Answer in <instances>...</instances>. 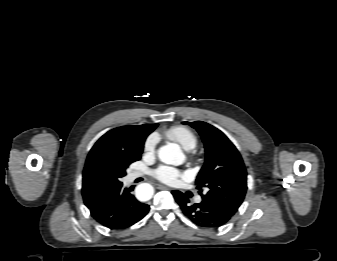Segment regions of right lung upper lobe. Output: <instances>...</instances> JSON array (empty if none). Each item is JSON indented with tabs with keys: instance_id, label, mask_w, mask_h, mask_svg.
Returning a JSON list of instances; mask_svg holds the SVG:
<instances>
[{
	"instance_id": "cb5924a9",
	"label": "right lung upper lobe",
	"mask_w": 337,
	"mask_h": 261,
	"mask_svg": "<svg viewBox=\"0 0 337 261\" xmlns=\"http://www.w3.org/2000/svg\"><path fill=\"white\" fill-rule=\"evenodd\" d=\"M157 125L144 124L115 128L108 131L95 143L88 154L83 171L82 195L88 208L92 207L105 194V192L94 189L88 183L87 171L91 163L101 155H109L116 159L135 160L141 156L146 137Z\"/></svg>"
}]
</instances>
